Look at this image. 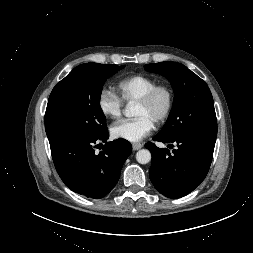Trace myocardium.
Returning a JSON list of instances; mask_svg holds the SVG:
<instances>
[{
	"mask_svg": "<svg viewBox=\"0 0 253 253\" xmlns=\"http://www.w3.org/2000/svg\"><path fill=\"white\" fill-rule=\"evenodd\" d=\"M164 91L167 95V105L162 114L155 120V124H164L172 114L175 105V92L171 85L167 83H158L149 89L141 98L137 100V103L142 105H149L152 103L156 95Z\"/></svg>",
	"mask_w": 253,
	"mask_h": 253,
	"instance_id": "obj_1",
	"label": "myocardium"
}]
</instances>
